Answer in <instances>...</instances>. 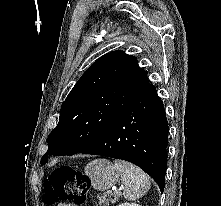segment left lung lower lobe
I'll return each instance as SVG.
<instances>
[{"mask_svg": "<svg viewBox=\"0 0 221 206\" xmlns=\"http://www.w3.org/2000/svg\"><path fill=\"white\" fill-rule=\"evenodd\" d=\"M168 122L152 85L138 96L91 144L78 153L129 161L164 190Z\"/></svg>", "mask_w": 221, "mask_h": 206, "instance_id": "1", "label": "left lung lower lobe"}]
</instances>
